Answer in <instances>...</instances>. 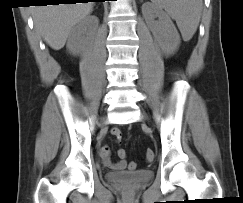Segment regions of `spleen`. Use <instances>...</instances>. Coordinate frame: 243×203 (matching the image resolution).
Instances as JSON below:
<instances>
[{"label": "spleen", "instance_id": "1", "mask_svg": "<svg viewBox=\"0 0 243 203\" xmlns=\"http://www.w3.org/2000/svg\"><path fill=\"white\" fill-rule=\"evenodd\" d=\"M176 21L184 41L195 34L202 13V0H151Z\"/></svg>", "mask_w": 243, "mask_h": 203}]
</instances>
